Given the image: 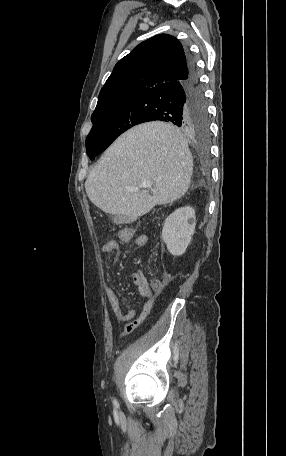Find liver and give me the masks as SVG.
Segmentation results:
<instances>
[{
  "instance_id": "6515ba94",
  "label": "liver",
  "mask_w": 286,
  "mask_h": 456,
  "mask_svg": "<svg viewBox=\"0 0 286 456\" xmlns=\"http://www.w3.org/2000/svg\"><path fill=\"white\" fill-rule=\"evenodd\" d=\"M192 173V155L180 130L154 121L118 137L91 170L85 189L90 201L105 213L135 221L155 205L181 198ZM145 180L153 182L152 195L141 190Z\"/></svg>"
}]
</instances>
